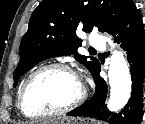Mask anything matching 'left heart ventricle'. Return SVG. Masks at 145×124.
I'll return each mask as SVG.
<instances>
[{
  "mask_svg": "<svg viewBox=\"0 0 145 124\" xmlns=\"http://www.w3.org/2000/svg\"><path fill=\"white\" fill-rule=\"evenodd\" d=\"M80 92L81 84L75 76L59 69L48 70L28 88L25 108L31 114L58 110L74 101Z\"/></svg>",
  "mask_w": 145,
  "mask_h": 124,
  "instance_id": "left-heart-ventricle-1",
  "label": "left heart ventricle"
}]
</instances>
